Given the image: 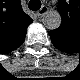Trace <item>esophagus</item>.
<instances>
[{
	"label": "esophagus",
	"instance_id": "esophagus-1",
	"mask_svg": "<svg viewBox=\"0 0 80 80\" xmlns=\"http://www.w3.org/2000/svg\"><path fill=\"white\" fill-rule=\"evenodd\" d=\"M42 9H43V7H42V8L40 9V11L38 12V16H39V17H43L44 14L47 13V10H46V11H43Z\"/></svg>",
	"mask_w": 80,
	"mask_h": 80
}]
</instances>
